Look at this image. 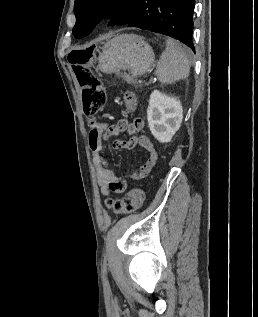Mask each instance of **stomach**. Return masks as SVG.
<instances>
[{
	"label": "stomach",
	"instance_id": "1",
	"mask_svg": "<svg viewBox=\"0 0 258 317\" xmlns=\"http://www.w3.org/2000/svg\"><path fill=\"white\" fill-rule=\"evenodd\" d=\"M155 54L152 46L138 34H119L102 46L99 52L98 68L103 72L129 70L132 76H139L154 66Z\"/></svg>",
	"mask_w": 258,
	"mask_h": 317
}]
</instances>
